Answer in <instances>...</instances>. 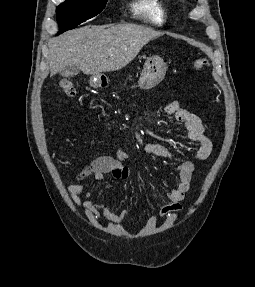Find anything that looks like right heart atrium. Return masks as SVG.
<instances>
[{"mask_svg":"<svg viewBox=\"0 0 255 287\" xmlns=\"http://www.w3.org/2000/svg\"><path fill=\"white\" fill-rule=\"evenodd\" d=\"M108 48H127V47H108Z\"/></svg>","mask_w":255,"mask_h":287,"instance_id":"d8ad5b80","label":"right heart atrium"}]
</instances>
